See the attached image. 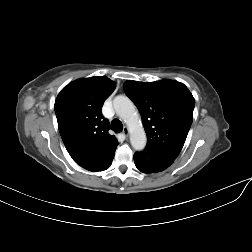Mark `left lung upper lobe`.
I'll return each mask as SVG.
<instances>
[{
    "mask_svg": "<svg viewBox=\"0 0 252 252\" xmlns=\"http://www.w3.org/2000/svg\"><path fill=\"white\" fill-rule=\"evenodd\" d=\"M126 94L139 109L147 135L145 149L162 152L173 159L179 155L193 121L195 100L177 81H126Z\"/></svg>",
    "mask_w": 252,
    "mask_h": 252,
    "instance_id": "5c2ea615",
    "label": "left lung upper lobe"
}]
</instances>
